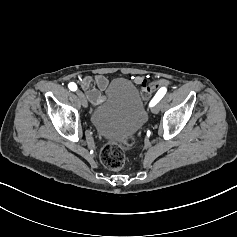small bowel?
I'll return each mask as SVG.
<instances>
[{"label":"small bowel","mask_w":237,"mask_h":237,"mask_svg":"<svg viewBox=\"0 0 237 237\" xmlns=\"http://www.w3.org/2000/svg\"><path fill=\"white\" fill-rule=\"evenodd\" d=\"M135 82L141 87L143 94L147 96L149 94L147 92V87H148L147 78L145 76H137L135 78ZM80 84L85 90L89 101L93 104H99L104 99L102 95V91H104L107 88L109 81L105 76L98 74V75H95L94 77L85 76L81 78ZM159 84L168 85L169 81L161 80Z\"/></svg>","instance_id":"small-bowel-1"}]
</instances>
